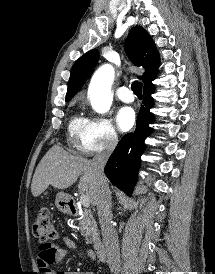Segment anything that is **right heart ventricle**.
I'll return each instance as SVG.
<instances>
[{"label": "right heart ventricle", "instance_id": "obj_1", "mask_svg": "<svg viewBox=\"0 0 215 274\" xmlns=\"http://www.w3.org/2000/svg\"><path fill=\"white\" fill-rule=\"evenodd\" d=\"M86 121L87 119L75 115L70 120L69 126H68V132L69 136L73 141L78 142L80 138L82 137L84 130L86 128Z\"/></svg>", "mask_w": 215, "mask_h": 274}]
</instances>
